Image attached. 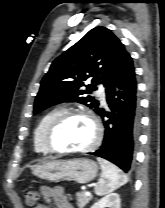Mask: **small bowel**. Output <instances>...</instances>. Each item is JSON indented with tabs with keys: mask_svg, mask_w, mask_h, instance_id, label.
I'll use <instances>...</instances> for the list:
<instances>
[{
	"mask_svg": "<svg viewBox=\"0 0 165 208\" xmlns=\"http://www.w3.org/2000/svg\"><path fill=\"white\" fill-rule=\"evenodd\" d=\"M40 194L46 201H53L57 208H74L68 201L64 189L61 186L49 187L41 186ZM34 208H48L43 205L35 206Z\"/></svg>",
	"mask_w": 165,
	"mask_h": 208,
	"instance_id": "small-bowel-1",
	"label": "small bowel"
}]
</instances>
